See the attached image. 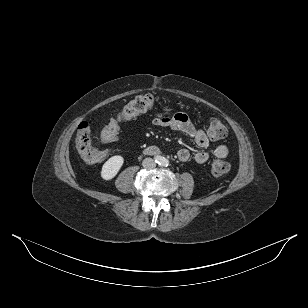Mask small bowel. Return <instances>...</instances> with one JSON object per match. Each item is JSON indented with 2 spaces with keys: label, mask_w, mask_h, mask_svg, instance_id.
<instances>
[{
  "label": "small bowel",
  "mask_w": 308,
  "mask_h": 308,
  "mask_svg": "<svg viewBox=\"0 0 308 308\" xmlns=\"http://www.w3.org/2000/svg\"><path fill=\"white\" fill-rule=\"evenodd\" d=\"M152 123L156 126L168 127L174 131L188 135L200 148L207 149L210 145L205 132L202 129L196 128L185 113H158L154 115ZM214 153L218 158H225L228 155V148L225 145H219L216 147ZM177 157L181 162H187L190 158V152L187 149H180L177 152ZM208 158L209 154L204 150L198 151L194 155L195 161L200 164L205 163Z\"/></svg>",
  "instance_id": "obj_1"
}]
</instances>
